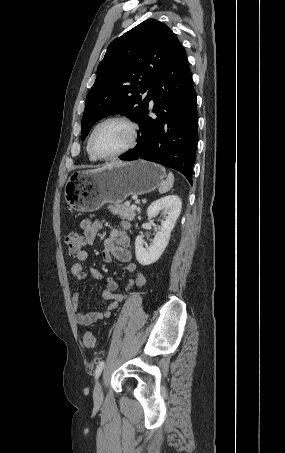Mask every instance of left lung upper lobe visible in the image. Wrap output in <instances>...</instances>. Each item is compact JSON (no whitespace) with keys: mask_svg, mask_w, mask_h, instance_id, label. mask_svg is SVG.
Instances as JSON below:
<instances>
[{"mask_svg":"<svg viewBox=\"0 0 285 453\" xmlns=\"http://www.w3.org/2000/svg\"><path fill=\"white\" fill-rule=\"evenodd\" d=\"M179 44L172 30L155 19L145 20L115 39L87 95L81 139L110 114L126 115L138 123L149 106L158 76Z\"/></svg>","mask_w":285,"mask_h":453,"instance_id":"1","label":"left lung upper lobe"}]
</instances>
